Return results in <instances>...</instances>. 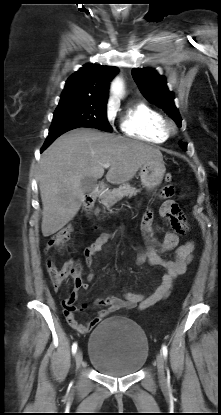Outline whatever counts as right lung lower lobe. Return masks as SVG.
Listing matches in <instances>:
<instances>
[{"label": "right lung lower lobe", "instance_id": "1", "mask_svg": "<svg viewBox=\"0 0 221 415\" xmlns=\"http://www.w3.org/2000/svg\"><path fill=\"white\" fill-rule=\"evenodd\" d=\"M69 130H64V131H58V132H49V135L41 149V152L47 148L57 137H59L61 134L67 132Z\"/></svg>", "mask_w": 221, "mask_h": 415}]
</instances>
